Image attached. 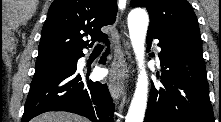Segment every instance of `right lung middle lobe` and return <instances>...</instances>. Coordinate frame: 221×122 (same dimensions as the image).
I'll return each mask as SVG.
<instances>
[{"label":"right lung middle lobe","instance_id":"dd1d6c3e","mask_svg":"<svg viewBox=\"0 0 221 122\" xmlns=\"http://www.w3.org/2000/svg\"><path fill=\"white\" fill-rule=\"evenodd\" d=\"M77 60L78 56H65L37 60L34 76L42 75L56 69L75 66L77 64Z\"/></svg>","mask_w":221,"mask_h":122}]
</instances>
